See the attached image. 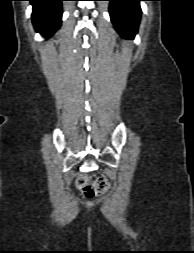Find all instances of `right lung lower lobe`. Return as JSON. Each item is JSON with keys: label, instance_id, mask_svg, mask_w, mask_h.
I'll use <instances>...</instances> for the list:
<instances>
[{"label": "right lung lower lobe", "instance_id": "obj_1", "mask_svg": "<svg viewBox=\"0 0 194 253\" xmlns=\"http://www.w3.org/2000/svg\"><path fill=\"white\" fill-rule=\"evenodd\" d=\"M33 5L32 21L37 32L50 37L59 29L64 0H27Z\"/></svg>", "mask_w": 194, "mask_h": 253}]
</instances>
